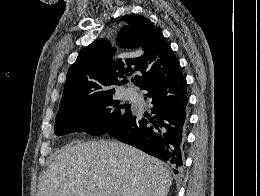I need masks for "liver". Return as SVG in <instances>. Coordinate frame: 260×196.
Here are the masks:
<instances>
[{
    "instance_id": "obj_1",
    "label": "liver",
    "mask_w": 260,
    "mask_h": 196,
    "mask_svg": "<svg viewBox=\"0 0 260 196\" xmlns=\"http://www.w3.org/2000/svg\"><path fill=\"white\" fill-rule=\"evenodd\" d=\"M164 162L121 142H84L59 150L41 176L37 196H168Z\"/></svg>"
}]
</instances>
